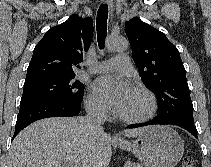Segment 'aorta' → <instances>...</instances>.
<instances>
[{
    "label": "aorta",
    "instance_id": "762f6f07",
    "mask_svg": "<svg viewBox=\"0 0 211 167\" xmlns=\"http://www.w3.org/2000/svg\"><path fill=\"white\" fill-rule=\"evenodd\" d=\"M128 46V40L121 36H112L107 40V48L112 52L124 51Z\"/></svg>",
    "mask_w": 211,
    "mask_h": 167
}]
</instances>
